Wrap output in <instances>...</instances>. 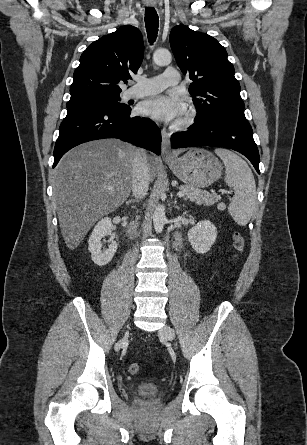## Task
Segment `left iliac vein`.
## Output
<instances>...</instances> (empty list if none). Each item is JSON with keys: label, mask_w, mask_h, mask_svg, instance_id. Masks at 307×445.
Listing matches in <instances>:
<instances>
[{"label": "left iliac vein", "mask_w": 307, "mask_h": 445, "mask_svg": "<svg viewBox=\"0 0 307 445\" xmlns=\"http://www.w3.org/2000/svg\"><path fill=\"white\" fill-rule=\"evenodd\" d=\"M159 335L163 338H166L170 341H173L175 339V333L174 330L167 324H165L160 330Z\"/></svg>", "instance_id": "left-iliac-vein-1"}]
</instances>
